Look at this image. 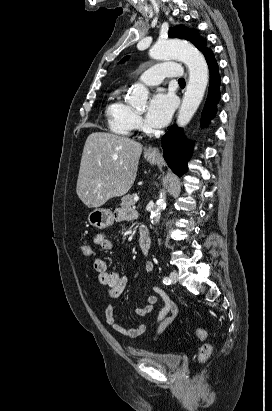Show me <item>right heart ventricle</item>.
Returning <instances> with one entry per match:
<instances>
[{
	"instance_id": "obj_1",
	"label": "right heart ventricle",
	"mask_w": 272,
	"mask_h": 411,
	"mask_svg": "<svg viewBox=\"0 0 272 411\" xmlns=\"http://www.w3.org/2000/svg\"><path fill=\"white\" fill-rule=\"evenodd\" d=\"M133 109L120 97V92L111 94L106 107L109 128L116 134L129 135L133 129Z\"/></svg>"
}]
</instances>
